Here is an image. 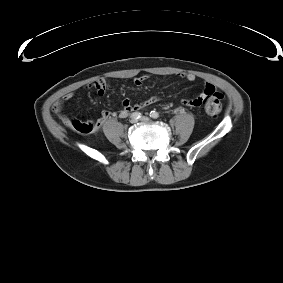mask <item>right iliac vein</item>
Returning <instances> with one entry per match:
<instances>
[{"label": "right iliac vein", "mask_w": 283, "mask_h": 283, "mask_svg": "<svg viewBox=\"0 0 283 283\" xmlns=\"http://www.w3.org/2000/svg\"><path fill=\"white\" fill-rule=\"evenodd\" d=\"M136 122H137V120L135 118L131 119V123H136Z\"/></svg>", "instance_id": "1"}]
</instances>
